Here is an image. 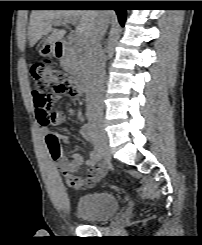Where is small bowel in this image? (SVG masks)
Instances as JSON below:
<instances>
[{
  "label": "small bowel",
  "instance_id": "c3829d8e",
  "mask_svg": "<svg viewBox=\"0 0 202 245\" xmlns=\"http://www.w3.org/2000/svg\"><path fill=\"white\" fill-rule=\"evenodd\" d=\"M53 114L55 118L54 124L62 123L65 120V115L62 111H55ZM77 116L79 119L82 118L80 112ZM50 126L51 125L41 123V131L48 147L55 139L58 140L59 143H69L67 135L52 132L49 128ZM80 131L83 138L86 141L91 142V138L84 130L83 126ZM51 159L56 168L60 171L67 185L74 189L93 187L100 180L105 171V167L102 164L97 163L96 150L92 151L88 157H83L79 153L66 154L61 149L59 155H51ZM81 165H87L89 167L87 175L84 177L75 176L74 172L77 171Z\"/></svg>",
  "mask_w": 202,
  "mask_h": 245
}]
</instances>
